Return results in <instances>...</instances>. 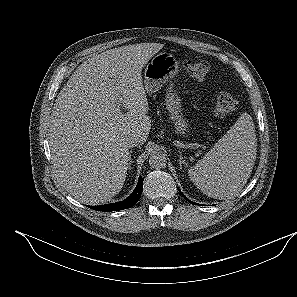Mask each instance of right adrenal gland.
I'll return each mask as SVG.
<instances>
[{
    "mask_svg": "<svg viewBox=\"0 0 297 297\" xmlns=\"http://www.w3.org/2000/svg\"><path fill=\"white\" fill-rule=\"evenodd\" d=\"M131 153H132V151H130V153H129V169H131V164H132Z\"/></svg>",
    "mask_w": 297,
    "mask_h": 297,
    "instance_id": "2a0ac1e0",
    "label": "right adrenal gland"
}]
</instances>
